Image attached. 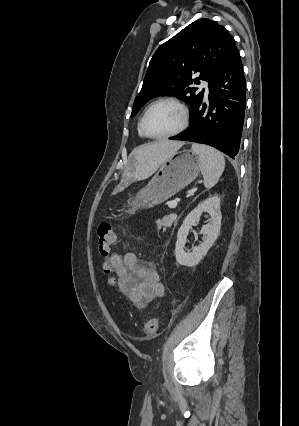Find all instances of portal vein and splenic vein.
<instances>
[{
  "mask_svg": "<svg viewBox=\"0 0 299 426\" xmlns=\"http://www.w3.org/2000/svg\"><path fill=\"white\" fill-rule=\"evenodd\" d=\"M177 202H178V200H177V199H175V200L171 201V202L169 203V207H170V208H175V207L177 206Z\"/></svg>",
  "mask_w": 299,
  "mask_h": 426,
  "instance_id": "portal-vein-and-splenic-vein-1",
  "label": "portal vein and splenic vein"
}]
</instances>
